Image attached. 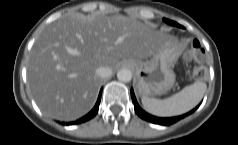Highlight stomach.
Segmentation results:
<instances>
[{"instance_id":"0dacf381","label":"stomach","mask_w":238,"mask_h":145,"mask_svg":"<svg viewBox=\"0 0 238 145\" xmlns=\"http://www.w3.org/2000/svg\"><path fill=\"white\" fill-rule=\"evenodd\" d=\"M176 44L167 42L157 50L149 61L134 70L137 79V92L141 96L162 95L175 83L173 67L178 58Z\"/></svg>"}]
</instances>
